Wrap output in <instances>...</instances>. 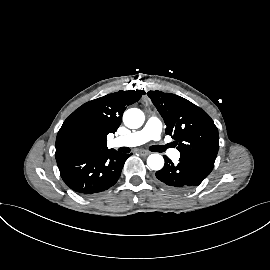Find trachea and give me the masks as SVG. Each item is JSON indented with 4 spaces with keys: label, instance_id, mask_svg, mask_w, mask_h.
<instances>
[{
    "label": "trachea",
    "instance_id": "trachea-1",
    "mask_svg": "<svg viewBox=\"0 0 270 270\" xmlns=\"http://www.w3.org/2000/svg\"><path fill=\"white\" fill-rule=\"evenodd\" d=\"M151 150L156 151V152H162L164 149L161 146L154 145V146L151 147Z\"/></svg>",
    "mask_w": 270,
    "mask_h": 270
}]
</instances>
